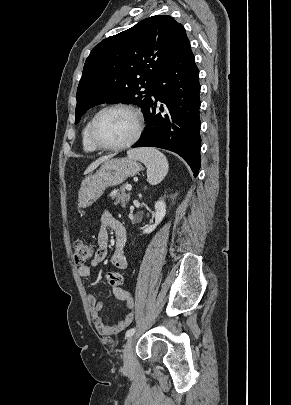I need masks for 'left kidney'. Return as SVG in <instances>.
<instances>
[{"label": "left kidney", "instance_id": "left-kidney-1", "mask_svg": "<svg viewBox=\"0 0 291 405\" xmlns=\"http://www.w3.org/2000/svg\"><path fill=\"white\" fill-rule=\"evenodd\" d=\"M166 215V204L163 200H159L155 203V223L153 225L148 226L143 233L150 234L155 230L157 225H159L163 218Z\"/></svg>", "mask_w": 291, "mask_h": 405}]
</instances>
